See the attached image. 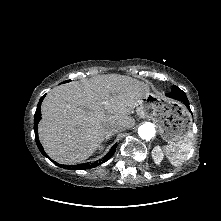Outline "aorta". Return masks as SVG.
I'll return each mask as SVG.
<instances>
[{
    "instance_id": "762f6f07",
    "label": "aorta",
    "mask_w": 221,
    "mask_h": 221,
    "mask_svg": "<svg viewBox=\"0 0 221 221\" xmlns=\"http://www.w3.org/2000/svg\"><path fill=\"white\" fill-rule=\"evenodd\" d=\"M140 138L151 140L155 136V127L152 123H145L138 128Z\"/></svg>"
}]
</instances>
